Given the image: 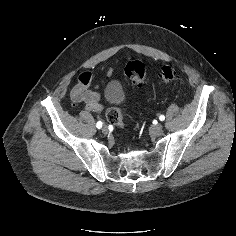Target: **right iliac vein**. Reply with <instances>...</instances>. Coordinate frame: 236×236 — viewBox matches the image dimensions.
<instances>
[{
  "instance_id": "1",
  "label": "right iliac vein",
  "mask_w": 236,
  "mask_h": 236,
  "mask_svg": "<svg viewBox=\"0 0 236 236\" xmlns=\"http://www.w3.org/2000/svg\"><path fill=\"white\" fill-rule=\"evenodd\" d=\"M102 133H103V134H107V133H108V127H107L106 125H104V126L102 127Z\"/></svg>"
}]
</instances>
